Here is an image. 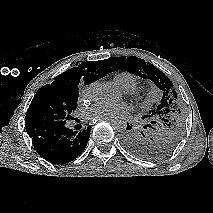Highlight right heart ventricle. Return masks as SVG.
Listing matches in <instances>:
<instances>
[{
  "mask_svg": "<svg viewBox=\"0 0 213 213\" xmlns=\"http://www.w3.org/2000/svg\"><path fill=\"white\" fill-rule=\"evenodd\" d=\"M114 82L124 91L135 89L139 83L138 77L130 72L122 71L114 76Z\"/></svg>",
  "mask_w": 213,
  "mask_h": 213,
  "instance_id": "1",
  "label": "right heart ventricle"
}]
</instances>
